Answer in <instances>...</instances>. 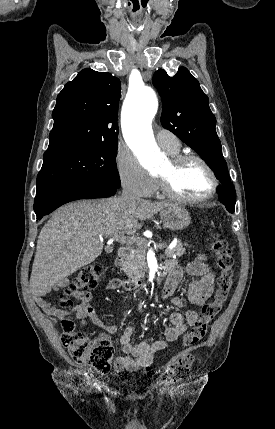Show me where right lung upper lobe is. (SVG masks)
<instances>
[{"instance_id":"obj_1","label":"right lung upper lobe","mask_w":275,"mask_h":429,"mask_svg":"<svg viewBox=\"0 0 275 429\" xmlns=\"http://www.w3.org/2000/svg\"><path fill=\"white\" fill-rule=\"evenodd\" d=\"M120 80L83 69L57 96L48 150L67 145L118 142Z\"/></svg>"}]
</instances>
